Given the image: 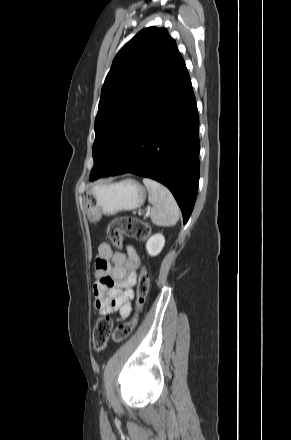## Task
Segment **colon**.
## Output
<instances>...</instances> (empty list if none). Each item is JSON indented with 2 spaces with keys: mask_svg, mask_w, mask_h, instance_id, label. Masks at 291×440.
I'll return each instance as SVG.
<instances>
[{
  "mask_svg": "<svg viewBox=\"0 0 291 440\" xmlns=\"http://www.w3.org/2000/svg\"><path fill=\"white\" fill-rule=\"evenodd\" d=\"M126 234L136 240H146L149 234L147 224L133 216H121L111 221L107 229V235L115 247L122 245V236ZM149 289V278L145 272H142L138 282V302L137 309L141 310L145 296ZM137 324V317L131 321L119 325L113 332V338L116 341L126 339ZM111 332V322L108 316L99 318L94 326L92 333L93 348L102 351L109 339Z\"/></svg>",
  "mask_w": 291,
  "mask_h": 440,
  "instance_id": "1",
  "label": "colon"
}]
</instances>
